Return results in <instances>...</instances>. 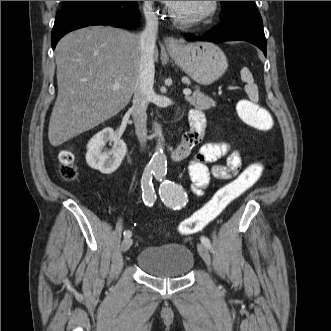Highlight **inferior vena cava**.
<instances>
[{
	"mask_svg": "<svg viewBox=\"0 0 331 331\" xmlns=\"http://www.w3.org/2000/svg\"><path fill=\"white\" fill-rule=\"evenodd\" d=\"M144 14L146 26L140 34L141 58L139 76L136 82L131 108L136 135L142 147L146 143L147 136L146 110L149 99L154 93V49L158 32V18L155 12L150 8H146Z\"/></svg>",
	"mask_w": 331,
	"mask_h": 331,
	"instance_id": "602c4592",
	"label": "inferior vena cava"
}]
</instances>
